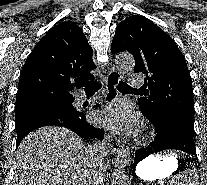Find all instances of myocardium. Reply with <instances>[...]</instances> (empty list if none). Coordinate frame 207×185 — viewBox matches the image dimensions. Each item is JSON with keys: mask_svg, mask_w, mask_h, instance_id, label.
Listing matches in <instances>:
<instances>
[{"mask_svg": "<svg viewBox=\"0 0 207 185\" xmlns=\"http://www.w3.org/2000/svg\"><path fill=\"white\" fill-rule=\"evenodd\" d=\"M154 135L153 131L148 128H143L135 139V143L137 145L141 144L146 139L152 137Z\"/></svg>", "mask_w": 207, "mask_h": 185, "instance_id": "myocardium-1", "label": "myocardium"}]
</instances>
